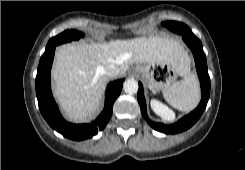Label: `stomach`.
Returning <instances> with one entry per match:
<instances>
[{
  "mask_svg": "<svg viewBox=\"0 0 245 170\" xmlns=\"http://www.w3.org/2000/svg\"><path fill=\"white\" fill-rule=\"evenodd\" d=\"M135 73L148 85L153 92L164 90L179 75L171 63H151L138 65Z\"/></svg>",
  "mask_w": 245,
  "mask_h": 170,
  "instance_id": "stomach-1",
  "label": "stomach"
}]
</instances>
